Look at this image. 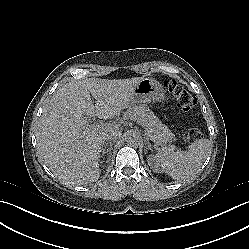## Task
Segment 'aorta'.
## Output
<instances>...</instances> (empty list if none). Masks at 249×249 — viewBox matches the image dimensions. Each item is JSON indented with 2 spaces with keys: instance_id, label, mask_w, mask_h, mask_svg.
I'll list each match as a JSON object with an SVG mask.
<instances>
[{
  "instance_id": "obj_1",
  "label": "aorta",
  "mask_w": 249,
  "mask_h": 249,
  "mask_svg": "<svg viewBox=\"0 0 249 249\" xmlns=\"http://www.w3.org/2000/svg\"><path fill=\"white\" fill-rule=\"evenodd\" d=\"M126 143L130 146H136L139 143V136L131 134L126 137Z\"/></svg>"
}]
</instances>
